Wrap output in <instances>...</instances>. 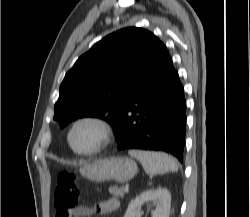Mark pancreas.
Here are the masks:
<instances>
[{
    "mask_svg": "<svg viewBox=\"0 0 250 217\" xmlns=\"http://www.w3.org/2000/svg\"><path fill=\"white\" fill-rule=\"evenodd\" d=\"M109 192L111 195L119 198L124 197L125 194V190L122 187H117V186L110 187Z\"/></svg>",
    "mask_w": 250,
    "mask_h": 217,
    "instance_id": "1",
    "label": "pancreas"
}]
</instances>
